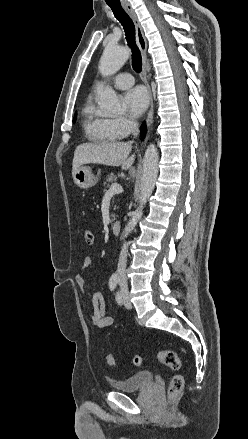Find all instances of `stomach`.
Listing matches in <instances>:
<instances>
[{"instance_id": "obj_1", "label": "stomach", "mask_w": 248, "mask_h": 439, "mask_svg": "<svg viewBox=\"0 0 248 439\" xmlns=\"http://www.w3.org/2000/svg\"><path fill=\"white\" fill-rule=\"evenodd\" d=\"M99 180V174L95 176L90 167L81 166L73 175L74 183L80 188H90Z\"/></svg>"}]
</instances>
